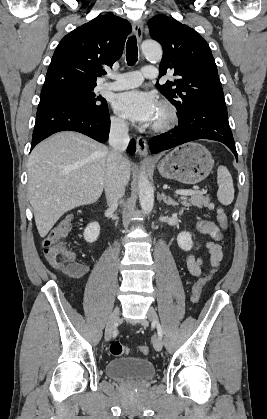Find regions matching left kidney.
Wrapping results in <instances>:
<instances>
[{
  "mask_svg": "<svg viewBox=\"0 0 267 419\" xmlns=\"http://www.w3.org/2000/svg\"><path fill=\"white\" fill-rule=\"evenodd\" d=\"M178 246L184 251H190L192 248V235L189 232L183 231L177 236Z\"/></svg>",
  "mask_w": 267,
  "mask_h": 419,
  "instance_id": "obj_1",
  "label": "left kidney"
}]
</instances>
